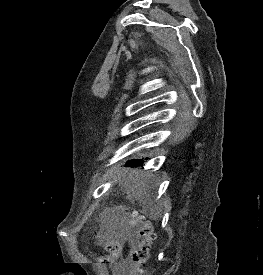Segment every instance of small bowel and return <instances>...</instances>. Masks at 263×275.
Instances as JSON below:
<instances>
[{"mask_svg":"<svg viewBox=\"0 0 263 275\" xmlns=\"http://www.w3.org/2000/svg\"><path fill=\"white\" fill-rule=\"evenodd\" d=\"M123 269H124V266H122V265L120 267H118L117 268V275H122Z\"/></svg>","mask_w":263,"mask_h":275,"instance_id":"1","label":"small bowel"}]
</instances>
